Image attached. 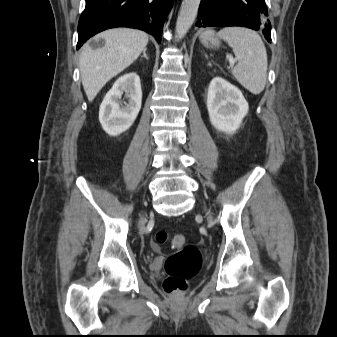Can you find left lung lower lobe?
Segmentation results:
<instances>
[{
  "label": "left lung lower lobe",
  "instance_id": "0a47b994",
  "mask_svg": "<svg viewBox=\"0 0 337 337\" xmlns=\"http://www.w3.org/2000/svg\"><path fill=\"white\" fill-rule=\"evenodd\" d=\"M197 27L242 26L261 29L271 41V24L265 0H201Z\"/></svg>",
  "mask_w": 337,
  "mask_h": 337
}]
</instances>
